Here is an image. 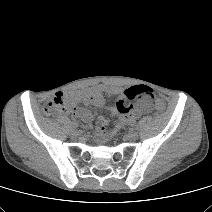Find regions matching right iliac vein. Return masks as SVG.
I'll use <instances>...</instances> for the list:
<instances>
[{
    "label": "right iliac vein",
    "mask_w": 212,
    "mask_h": 212,
    "mask_svg": "<svg viewBox=\"0 0 212 212\" xmlns=\"http://www.w3.org/2000/svg\"><path fill=\"white\" fill-rule=\"evenodd\" d=\"M72 136H78V131L77 130H75V129H73V130H71V133H70Z\"/></svg>",
    "instance_id": "obj_1"
}]
</instances>
